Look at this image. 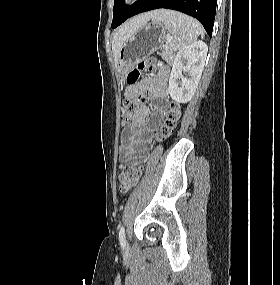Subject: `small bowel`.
<instances>
[{
    "label": "small bowel",
    "mask_w": 280,
    "mask_h": 285,
    "mask_svg": "<svg viewBox=\"0 0 280 285\" xmlns=\"http://www.w3.org/2000/svg\"><path fill=\"white\" fill-rule=\"evenodd\" d=\"M169 72L165 70L160 77L147 76L140 83L129 86L125 97L131 98L139 91H148L150 100L154 102L157 116L163 114L168 106L167 79ZM150 110L147 105L140 107L132 119V128L125 129L121 137L119 159L122 164L129 162L140 150L150 142L153 128L148 125Z\"/></svg>",
    "instance_id": "obj_1"
}]
</instances>
